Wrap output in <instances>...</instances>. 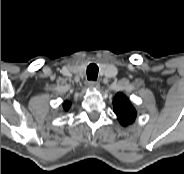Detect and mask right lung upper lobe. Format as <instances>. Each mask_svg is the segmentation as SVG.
Returning <instances> with one entry per match:
<instances>
[{
    "label": "right lung upper lobe",
    "mask_w": 184,
    "mask_h": 174,
    "mask_svg": "<svg viewBox=\"0 0 184 174\" xmlns=\"http://www.w3.org/2000/svg\"><path fill=\"white\" fill-rule=\"evenodd\" d=\"M70 106H71V103H70L69 101H65V102L63 103V109H64L65 111H68L69 108H70Z\"/></svg>",
    "instance_id": "right-lung-upper-lobe-1"
}]
</instances>
